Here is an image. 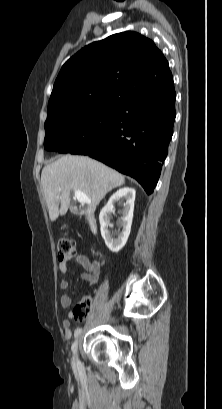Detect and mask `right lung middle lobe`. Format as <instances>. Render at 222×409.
Returning <instances> with one entry per match:
<instances>
[{
	"mask_svg": "<svg viewBox=\"0 0 222 409\" xmlns=\"http://www.w3.org/2000/svg\"><path fill=\"white\" fill-rule=\"evenodd\" d=\"M118 103L73 104L47 113L44 147L86 155L102 146Z\"/></svg>",
	"mask_w": 222,
	"mask_h": 409,
	"instance_id": "right-lung-middle-lobe-1",
	"label": "right lung middle lobe"
}]
</instances>
